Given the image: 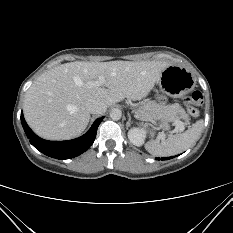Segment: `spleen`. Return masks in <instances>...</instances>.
<instances>
[{"label":"spleen","mask_w":233,"mask_h":233,"mask_svg":"<svg viewBox=\"0 0 233 233\" xmlns=\"http://www.w3.org/2000/svg\"><path fill=\"white\" fill-rule=\"evenodd\" d=\"M203 121H197L191 128L181 134H175L167 139L151 140L145 144V149L153 156L167 157L179 154L188 149L200 137Z\"/></svg>","instance_id":"3e777b00"}]
</instances>
